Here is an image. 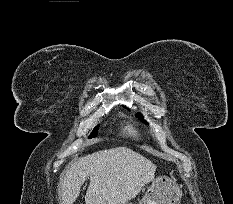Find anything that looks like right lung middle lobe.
<instances>
[{"mask_svg":"<svg viewBox=\"0 0 233 204\" xmlns=\"http://www.w3.org/2000/svg\"><path fill=\"white\" fill-rule=\"evenodd\" d=\"M98 127H99V125L96 126V127L94 128V130H93V132L90 134L89 138H94V137L97 135Z\"/></svg>","mask_w":233,"mask_h":204,"instance_id":"1","label":"right lung middle lobe"}]
</instances>
